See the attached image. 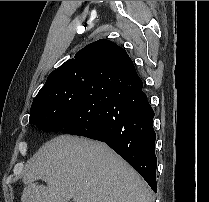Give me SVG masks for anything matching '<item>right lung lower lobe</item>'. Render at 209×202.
<instances>
[{"instance_id": "obj_1", "label": "right lung lower lobe", "mask_w": 209, "mask_h": 202, "mask_svg": "<svg viewBox=\"0 0 209 202\" xmlns=\"http://www.w3.org/2000/svg\"><path fill=\"white\" fill-rule=\"evenodd\" d=\"M154 111L132 61L94 77L81 106L63 126L68 134L105 142L145 179L154 192L157 158Z\"/></svg>"}]
</instances>
